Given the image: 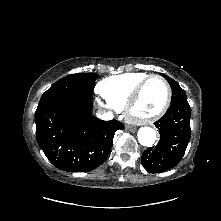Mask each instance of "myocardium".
Listing matches in <instances>:
<instances>
[{"label":"myocardium","instance_id":"myocardium-1","mask_svg":"<svg viewBox=\"0 0 221 221\" xmlns=\"http://www.w3.org/2000/svg\"><path fill=\"white\" fill-rule=\"evenodd\" d=\"M152 79H159L164 84L166 88L165 101L162 107L154 114L149 115V116H144V117L136 116L133 113L134 107L140 98L142 90L144 89L146 84ZM171 98H172V90L168 81L164 77L157 75V74L148 75L135 87L130 97L128 98L124 107L126 118L128 119L129 122L133 124H137V125L150 124L154 122L155 120L159 119L167 111L171 103Z\"/></svg>","mask_w":221,"mask_h":221}]
</instances>
